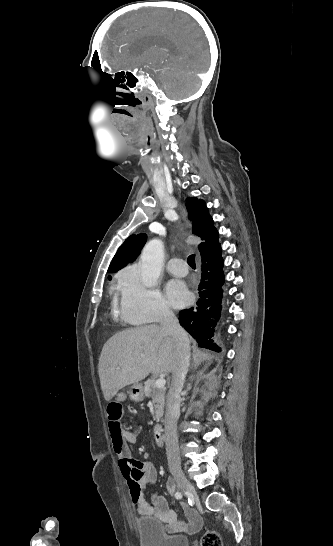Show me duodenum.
<instances>
[{
	"label": "duodenum",
	"mask_w": 333,
	"mask_h": 546,
	"mask_svg": "<svg viewBox=\"0 0 333 546\" xmlns=\"http://www.w3.org/2000/svg\"><path fill=\"white\" fill-rule=\"evenodd\" d=\"M153 439L158 446L164 444V430L161 425L155 426L153 430Z\"/></svg>",
	"instance_id": "410a0bca"
}]
</instances>
